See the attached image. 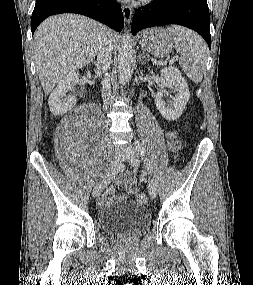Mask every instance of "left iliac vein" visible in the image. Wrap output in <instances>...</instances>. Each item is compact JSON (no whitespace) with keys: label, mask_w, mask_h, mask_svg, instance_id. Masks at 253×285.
Masks as SVG:
<instances>
[{"label":"left iliac vein","mask_w":253,"mask_h":285,"mask_svg":"<svg viewBox=\"0 0 253 285\" xmlns=\"http://www.w3.org/2000/svg\"><path fill=\"white\" fill-rule=\"evenodd\" d=\"M123 159L127 161L131 166H138L139 164V153L134 145L128 144L122 148ZM147 187L149 195L152 199L157 196L156 183L152 178H148Z\"/></svg>","instance_id":"1"}]
</instances>
